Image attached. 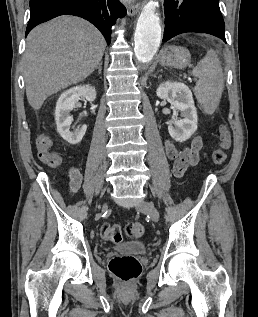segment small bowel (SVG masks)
<instances>
[{
	"label": "small bowel",
	"mask_w": 258,
	"mask_h": 317,
	"mask_svg": "<svg viewBox=\"0 0 258 317\" xmlns=\"http://www.w3.org/2000/svg\"><path fill=\"white\" fill-rule=\"evenodd\" d=\"M53 145L52 138L45 133L39 134L36 138V146L38 151H51ZM203 148L202 138L194 137L188 146L179 148L171 140L165 141V151L170 160L173 161V174L175 177H181L185 171L198 163L200 152ZM82 183V175L80 171L72 167L69 170V187L75 193L78 191Z\"/></svg>",
	"instance_id": "obj_1"
}]
</instances>
